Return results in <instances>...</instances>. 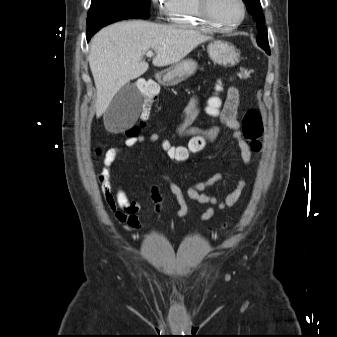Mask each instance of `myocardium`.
<instances>
[{
    "label": "myocardium",
    "instance_id": "myocardium-1",
    "mask_svg": "<svg viewBox=\"0 0 337 337\" xmlns=\"http://www.w3.org/2000/svg\"><path fill=\"white\" fill-rule=\"evenodd\" d=\"M238 3L241 7V17L240 19L230 25H225L218 22L211 11L212 0H197L198 10L202 19L213 29L218 31H230L238 28L245 20L247 15V7L244 0H238Z\"/></svg>",
    "mask_w": 337,
    "mask_h": 337
}]
</instances>
